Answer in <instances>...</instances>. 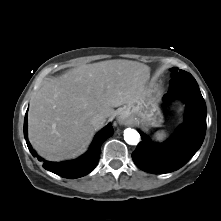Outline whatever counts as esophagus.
Instances as JSON below:
<instances>
[{
    "mask_svg": "<svg viewBox=\"0 0 221 221\" xmlns=\"http://www.w3.org/2000/svg\"><path fill=\"white\" fill-rule=\"evenodd\" d=\"M117 122L121 125L130 123V117L126 112H120L117 115Z\"/></svg>",
    "mask_w": 221,
    "mask_h": 221,
    "instance_id": "obj_1",
    "label": "esophagus"
}]
</instances>
